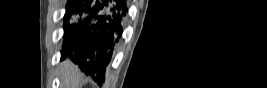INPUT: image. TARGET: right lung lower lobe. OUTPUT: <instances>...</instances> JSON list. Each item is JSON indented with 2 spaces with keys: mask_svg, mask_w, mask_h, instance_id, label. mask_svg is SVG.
<instances>
[{
  "mask_svg": "<svg viewBox=\"0 0 267 88\" xmlns=\"http://www.w3.org/2000/svg\"><path fill=\"white\" fill-rule=\"evenodd\" d=\"M67 10L63 58L71 53L81 70L101 83L122 35L126 0H73Z\"/></svg>",
  "mask_w": 267,
  "mask_h": 88,
  "instance_id": "right-lung-lower-lobe-1",
  "label": "right lung lower lobe"
}]
</instances>
